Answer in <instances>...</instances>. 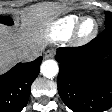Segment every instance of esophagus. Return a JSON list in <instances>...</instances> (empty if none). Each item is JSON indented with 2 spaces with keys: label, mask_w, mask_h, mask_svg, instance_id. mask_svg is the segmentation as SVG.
<instances>
[{
  "label": "esophagus",
  "mask_w": 112,
  "mask_h": 112,
  "mask_svg": "<svg viewBox=\"0 0 112 112\" xmlns=\"http://www.w3.org/2000/svg\"><path fill=\"white\" fill-rule=\"evenodd\" d=\"M54 55H55V52L54 51L48 50V51L45 52L44 57L45 58H53Z\"/></svg>",
  "instance_id": "1"
}]
</instances>
